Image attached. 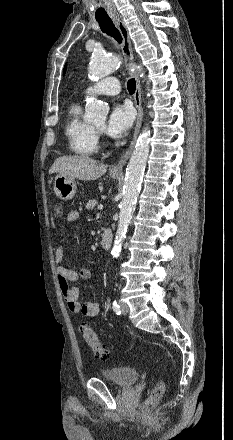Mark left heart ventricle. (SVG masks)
<instances>
[{
	"mask_svg": "<svg viewBox=\"0 0 233 440\" xmlns=\"http://www.w3.org/2000/svg\"><path fill=\"white\" fill-rule=\"evenodd\" d=\"M94 126H96L97 128H100V129H104V127H105V121L102 120V121H100V122H97V123L94 124Z\"/></svg>",
	"mask_w": 233,
	"mask_h": 440,
	"instance_id": "b2bd125f",
	"label": "left heart ventricle"
}]
</instances>
